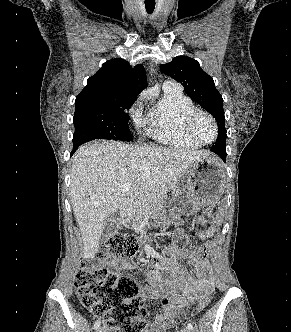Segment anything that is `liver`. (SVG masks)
<instances>
[{"mask_svg":"<svg viewBox=\"0 0 291 332\" xmlns=\"http://www.w3.org/2000/svg\"><path fill=\"white\" fill-rule=\"evenodd\" d=\"M206 150L136 146L115 141H92L76 151L70 195L83 240V258L99 248L107 218L119 212L125 221L137 220L147 197L174 189L191 165L209 156ZM131 182L128 191L122 185Z\"/></svg>","mask_w":291,"mask_h":332,"instance_id":"6515ba94","label":"liver"}]
</instances>
